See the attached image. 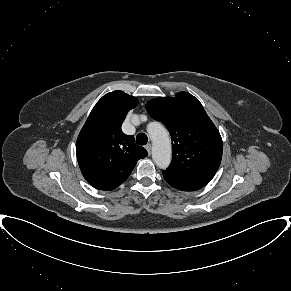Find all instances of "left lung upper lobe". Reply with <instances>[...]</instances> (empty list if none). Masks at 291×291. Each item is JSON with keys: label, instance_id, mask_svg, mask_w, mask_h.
Listing matches in <instances>:
<instances>
[{"label": "left lung upper lobe", "instance_id": "left-lung-upper-lobe-1", "mask_svg": "<svg viewBox=\"0 0 291 291\" xmlns=\"http://www.w3.org/2000/svg\"><path fill=\"white\" fill-rule=\"evenodd\" d=\"M149 115L162 122L172 138L167 172L208 183L222 158V138L197 98L187 92L147 102Z\"/></svg>", "mask_w": 291, "mask_h": 291}]
</instances>
